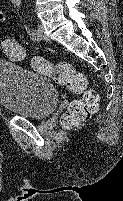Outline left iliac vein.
<instances>
[{"mask_svg": "<svg viewBox=\"0 0 123 201\" xmlns=\"http://www.w3.org/2000/svg\"><path fill=\"white\" fill-rule=\"evenodd\" d=\"M37 40H49V38L44 33V27L40 24L37 28Z\"/></svg>", "mask_w": 123, "mask_h": 201, "instance_id": "1", "label": "left iliac vein"}]
</instances>
